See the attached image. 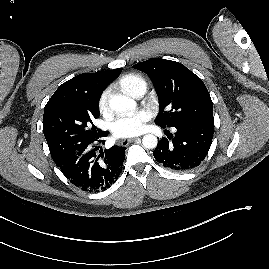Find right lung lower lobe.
<instances>
[{
	"mask_svg": "<svg viewBox=\"0 0 269 269\" xmlns=\"http://www.w3.org/2000/svg\"><path fill=\"white\" fill-rule=\"evenodd\" d=\"M107 134L102 132L92 141L77 144L54 160L65 177L83 191L106 190L116 182L123 169L126 147L113 146L103 151L93 144L94 141L104 144L98 139Z\"/></svg>",
	"mask_w": 269,
	"mask_h": 269,
	"instance_id": "1",
	"label": "right lung lower lobe"
}]
</instances>
